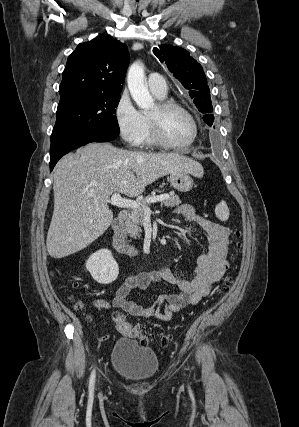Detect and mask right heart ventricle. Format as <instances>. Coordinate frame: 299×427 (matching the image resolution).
<instances>
[{
    "mask_svg": "<svg viewBox=\"0 0 299 427\" xmlns=\"http://www.w3.org/2000/svg\"><path fill=\"white\" fill-rule=\"evenodd\" d=\"M154 96L159 100H163L165 98V96L161 97V96H158L156 94H154ZM143 117H144V122H145V129H144V134H143L142 141L140 144L144 145V146H148V147L155 146L156 142L154 141L152 134H151L148 116L144 114Z\"/></svg>",
    "mask_w": 299,
    "mask_h": 427,
    "instance_id": "1",
    "label": "right heart ventricle"
}]
</instances>
